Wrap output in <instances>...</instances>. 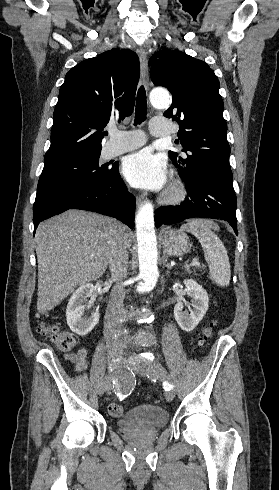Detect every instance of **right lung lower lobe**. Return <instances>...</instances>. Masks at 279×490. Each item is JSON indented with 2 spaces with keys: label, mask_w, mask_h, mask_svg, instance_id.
Masks as SVG:
<instances>
[{
  "label": "right lung lower lobe",
  "mask_w": 279,
  "mask_h": 490,
  "mask_svg": "<svg viewBox=\"0 0 279 490\" xmlns=\"http://www.w3.org/2000/svg\"><path fill=\"white\" fill-rule=\"evenodd\" d=\"M68 209L98 212L134 227L135 197L127 191L118 168L107 179L37 189L34 231L41 221Z\"/></svg>",
  "instance_id": "right-lung-lower-lobe-1"
}]
</instances>
